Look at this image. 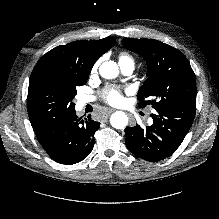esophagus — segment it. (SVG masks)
<instances>
[{
    "instance_id": "esophagus-1",
    "label": "esophagus",
    "mask_w": 219,
    "mask_h": 219,
    "mask_svg": "<svg viewBox=\"0 0 219 219\" xmlns=\"http://www.w3.org/2000/svg\"><path fill=\"white\" fill-rule=\"evenodd\" d=\"M115 111V109H109L107 110L108 115H110L111 113H113Z\"/></svg>"
}]
</instances>
